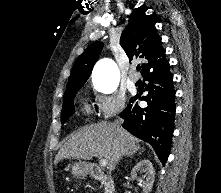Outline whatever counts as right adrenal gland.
<instances>
[{
	"label": "right adrenal gland",
	"instance_id": "right-adrenal-gland-1",
	"mask_svg": "<svg viewBox=\"0 0 221 193\" xmlns=\"http://www.w3.org/2000/svg\"><path fill=\"white\" fill-rule=\"evenodd\" d=\"M139 154H140V152H139ZM132 158H133V157H131L130 162H131Z\"/></svg>",
	"mask_w": 221,
	"mask_h": 193
}]
</instances>
